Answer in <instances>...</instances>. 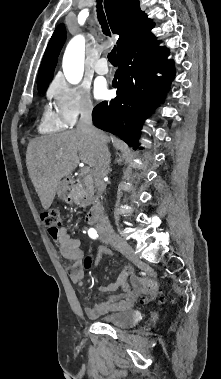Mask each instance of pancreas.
<instances>
[{"instance_id": "cf45deb5", "label": "pancreas", "mask_w": 221, "mask_h": 379, "mask_svg": "<svg viewBox=\"0 0 221 379\" xmlns=\"http://www.w3.org/2000/svg\"><path fill=\"white\" fill-rule=\"evenodd\" d=\"M74 195L78 199L85 198L90 201L94 199V184L92 176H84L82 180H77Z\"/></svg>"}]
</instances>
